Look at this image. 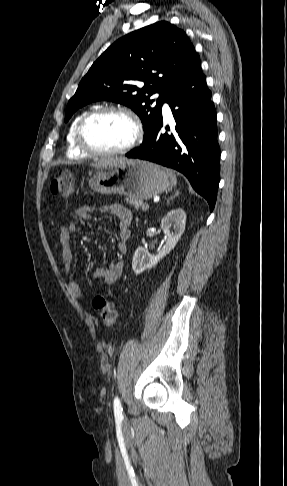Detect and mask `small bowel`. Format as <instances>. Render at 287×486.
Returning a JSON list of instances; mask_svg holds the SVG:
<instances>
[{
  "instance_id": "c3829d8e",
  "label": "small bowel",
  "mask_w": 287,
  "mask_h": 486,
  "mask_svg": "<svg viewBox=\"0 0 287 486\" xmlns=\"http://www.w3.org/2000/svg\"><path fill=\"white\" fill-rule=\"evenodd\" d=\"M102 214H109L114 216L118 221V242L116 245L117 252L121 255L127 253L128 240L131 235L132 214L130 210L121 205H108L101 208ZM94 213L89 207H78L72 210L67 218L65 224L60 226L59 240L61 244V257L64 264V273L67 277V287L70 294L76 298L81 299L83 292L79 284L71 278V266L73 262V251L71 248V239L76 233L77 223L75 218L91 219ZM123 271V262L117 261L110 264L106 268H97L94 272V277L101 281L107 287L113 285L121 276Z\"/></svg>"
}]
</instances>
